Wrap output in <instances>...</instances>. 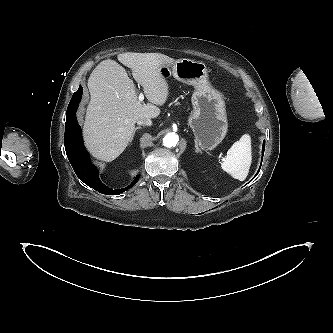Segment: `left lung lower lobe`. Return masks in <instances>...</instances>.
I'll return each instance as SVG.
<instances>
[{"label": "left lung lower lobe", "instance_id": "left-lung-lower-lobe-1", "mask_svg": "<svg viewBox=\"0 0 333 333\" xmlns=\"http://www.w3.org/2000/svg\"><path fill=\"white\" fill-rule=\"evenodd\" d=\"M264 145H265V142L263 143V147H262V155L264 154ZM260 170V169H259ZM259 172V171H258ZM257 175V174H256Z\"/></svg>", "mask_w": 333, "mask_h": 333}]
</instances>
